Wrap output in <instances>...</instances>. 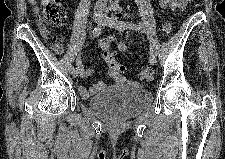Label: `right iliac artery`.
Returning a JSON list of instances; mask_svg holds the SVG:
<instances>
[{"instance_id": "1", "label": "right iliac artery", "mask_w": 225, "mask_h": 159, "mask_svg": "<svg viewBox=\"0 0 225 159\" xmlns=\"http://www.w3.org/2000/svg\"><path fill=\"white\" fill-rule=\"evenodd\" d=\"M100 32H101V26L98 25V26L95 27V28L93 29V31L91 32L90 37H91V38H96V37L99 36ZM78 63H79V61L77 62V64H78ZM72 69H74V67L71 66V69H70V70H72Z\"/></svg>"}]
</instances>
